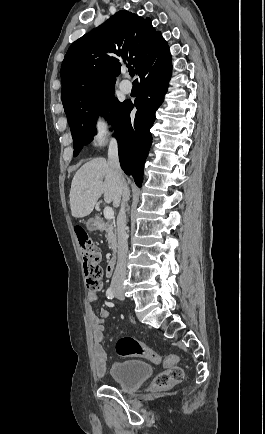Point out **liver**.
<instances>
[{
	"label": "liver",
	"instance_id": "liver-1",
	"mask_svg": "<svg viewBox=\"0 0 265 434\" xmlns=\"http://www.w3.org/2000/svg\"><path fill=\"white\" fill-rule=\"evenodd\" d=\"M102 194L106 204L113 202L114 208H118L122 196L121 176L105 158H95L81 166L72 180L69 198L73 218L89 216Z\"/></svg>",
	"mask_w": 265,
	"mask_h": 434
}]
</instances>
